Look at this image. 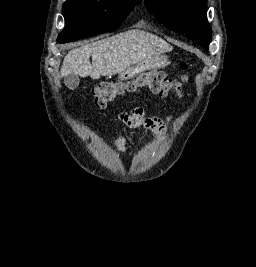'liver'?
Listing matches in <instances>:
<instances>
[{
  "instance_id": "1",
  "label": "liver",
  "mask_w": 256,
  "mask_h": 267,
  "mask_svg": "<svg viewBox=\"0 0 256 267\" xmlns=\"http://www.w3.org/2000/svg\"><path fill=\"white\" fill-rule=\"evenodd\" d=\"M171 50L173 48L170 44L154 34L142 30H128L112 38L70 50L63 60L60 74L61 78L76 74L81 78L90 76L93 80H99L101 76L122 74L130 66L145 64L153 56Z\"/></svg>"
}]
</instances>
